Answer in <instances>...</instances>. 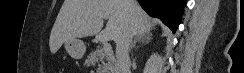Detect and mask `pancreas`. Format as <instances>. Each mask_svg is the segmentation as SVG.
<instances>
[{"label": "pancreas", "mask_w": 244, "mask_h": 73, "mask_svg": "<svg viewBox=\"0 0 244 73\" xmlns=\"http://www.w3.org/2000/svg\"><path fill=\"white\" fill-rule=\"evenodd\" d=\"M104 60L107 61L105 64ZM86 64L88 66H95L98 64L99 66H102L105 64V66L111 70V73H116L117 71V63L115 60V57L112 52H104L103 49L97 48L95 51H92L86 59Z\"/></svg>", "instance_id": "1"}]
</instances>
